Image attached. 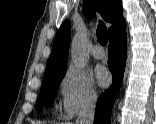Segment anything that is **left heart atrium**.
I'll return each mask as SVG.
<instances>
[{
  "instance_id": "left-heart-atrium-1",
  "label": "left heart atrium",
  "mask_w": 156,
  "mask_h": 124,
  "mask_svg": "<svg viewBox=\"0 0 156 124\" xmlns=\"http://www.w3.org/2000/svg\"><path fill=\"white\" fill-rule=\"evenodd\" d=\"M95 79L101 87H107L111 83V74L104 66H98L95 69Z\"/></svg>"
}]
</instances>
